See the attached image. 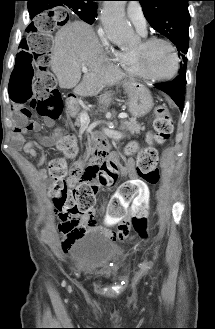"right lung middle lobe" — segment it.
<instances>
[{
    "instance_id": "obj_1",
    "label": "right lung middle lobe",
    "mask_w": 215,
    "mask_h": 329,
    "mask_svg": "<svg viewBox=\"0 0 215 329\" xmlns=\"http://www.w3.org/2000/svg\"><path fill=\"white\" fill-rule=\"evenodd\" d=\"M63 8L68 12H74L77 14L83 21L92 24L95 20V14L92 13V10L88 8L85 4L75 1H67L64 3Z\"/></svg>"
}]
</instances>
